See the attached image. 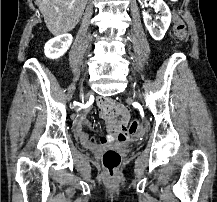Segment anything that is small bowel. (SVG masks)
I'll use <instances>...</instances> for the list:
<instances>
[{"label":"small bowel","instance_id":"1","mask_svg":"<svg viewBox=\"0 0 217 202\" xmlns=\"http://www.w3.org/2000/svg\"><path fill=\"white\" fill-rule=\"evenodd\" d=\"M97 109H101L100 118L108 121L107 129L108 134L101 138H89L84 130V123L79 121L75 127V134L81 142L88 148L97 149L99 144L118 143L123 144L129 137L127 126L130 121L129 112L119 104L118 101H97ZM123 109V112H122ZM117 113H121L117 119Z\"/></svg>","mask_w":217,"mask_h":202}]
</instances>
